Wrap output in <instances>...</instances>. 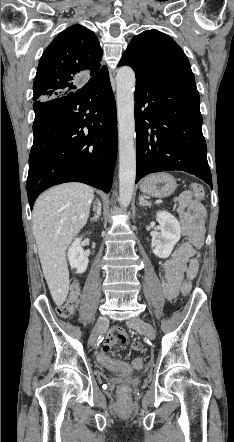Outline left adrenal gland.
Returning a JSON list of instances; mask_svg holds the SVG:
<instances>
[{
  "label": "left adrenal gland",
  "mask_w": 234,
  "mask_h": 442,
  "mask_svg": "<svg viewBox=\"0 0 234 442\" xmlns=\"http://www.w3.org/2000/svg\"><path fill=\"white\" fill-rule=\"evenodd\" d=\"M139 201H140L139 202L140 206H144V207L149 206V207H151V203L148 202L146 199H144V197L142 195L139 196Z\"/></svg>",
  "instance_id": "a2214340"
}]
</instances>
